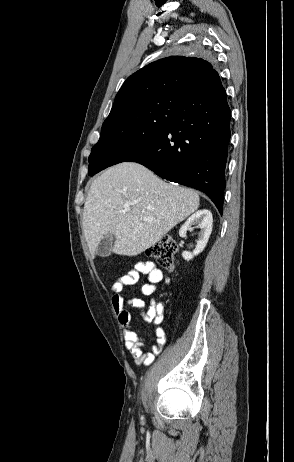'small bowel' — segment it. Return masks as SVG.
<instances>
[{
	"mask_svg": "<svg viewBox=\"0 0 294 462\" xmlns=\"http://www.w3.org/2000/svg\"><path fill=\"white\" fill-rule=\"evenodd\" d=\"M140 275H144L147 281L141 286V293L150 297L149 306L142 316L145 322L152 323L156 326L155 336L156 343L148 350L144 349L147 342L146 336L139 335L135 330L130 328V313L127 305L143 310L145 302L140 298H131L125 300L124 291L126 288L138 283ZM163 279L162 271L151 261H140L133 269L126 274L117 278L111 287V303L120 324L125 328L124 339L125 347L131 354L136 365H150L156 355H158L166 342V335L160 324L163 321L164 305L158 302L154 297L156 285Z\"/></svg>",
	"mask_w": 294,
	"mask_h": 462,
	"instance_id": "c3829d8e",
	"label": "small bowel"
}]
</instances>
